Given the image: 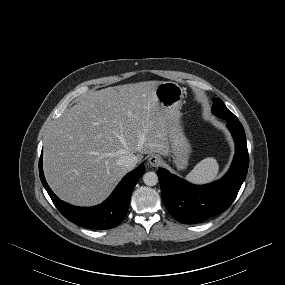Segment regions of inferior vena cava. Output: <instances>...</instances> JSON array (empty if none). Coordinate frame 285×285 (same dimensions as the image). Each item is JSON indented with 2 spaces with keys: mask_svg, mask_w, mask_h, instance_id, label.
<instances>
[{
  "mask_svg": "<svg viewBox=\"0 0 285 285\" xmlns=\"http://www.w3.org/2000/svg\"><path fill=\"white\" fill-rule=\"evenodd\" d=\"M122 161L125 168L131 170L136 166L138 158L134 154H129L127 156H124Z\"/></svg>",
  "mask_w": 285,
  "mask_h": 285,
  "instance_id": "inferior-vena-cava-1",
  "label": "inferior vena cava"
}]
</instances>
